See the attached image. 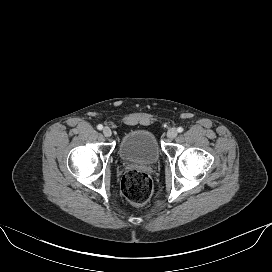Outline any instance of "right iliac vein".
Masks as SVG:
<instances>
[{"label":"right iliac vein","instance_id":"obj_1","mask_svg":"<svg viewBox=\"0 0 272 272\" xmlns=\"http://www.w3.org/2000/svg\"><path fill=\"white\" fill-rule=\"evenodd\" d=\"M103 134H104L105 137H110L112 135V131H111V129L109 127H105L103 129Z\"/></svg>","mask_w":272,"mask_h":272}]
</instances>
